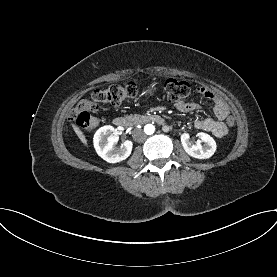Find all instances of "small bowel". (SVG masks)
Returning a JSON list of instances; mask_svg holds the SVG:
<instances>
[{
    "mask_svg": "<svg viewBox=\"0 0 277 277\" xmlns=\"http://www.w3.org/2000/svg\"><path fill=\"white\" fill-rule=\"evenodd\" d=\"M198 92L212 102L216 119L206 118L201 120H194V126L204 131L210 132L218 138L223 137L228 131V128L223 124V119L229 115L228 106L216 94L207 88H199ZM175 105L178 109L183 111H192L198 108L196 103L185 101L177 102Z\"/></svg>",
    "mask_w": 277,
    "mask_h": 277,
    "instance_id": "c3829d8e",
    "label": "small bowel"
}]
</instances>
